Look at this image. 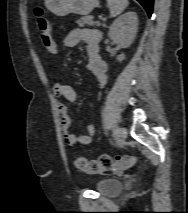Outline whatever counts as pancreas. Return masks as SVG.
<instances>
[{
	"mask_svg": "<svg viewBox=\"0 0 188 213\" xmlns=\"http://www.w3.org/2000/svg\"><path fill=\"white\" fill-rule=\"evenodd\" d=\"M77 24L80 26V27H84V26H99L98 25V22H95L93 20V16H84L82 18H80L78 21H77Z\"/></svg>",
	"mask_w": 188,
	"mask_h": 213,
	"instance_id": "1",
	"label": "pancreas"
}]
</instances>
